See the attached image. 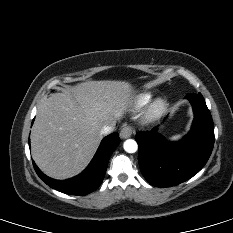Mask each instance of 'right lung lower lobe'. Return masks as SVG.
I'll list each match as a JSON object with an SVG mask.
<instances>
[{"instance_id":"98d812e1","label":"right lung lower lobe","mask_w":233,"mask_h":233,"mask_svg":"<svg viewBox=\"0 0 233 233\" xmlns=\"http://www.w3.org/2000/svg\"><path fill=\"white\" fill-rule=\"evenodd\" d=\"M120 143L118 133L105 137L88 167L78 176L68 180H55L47 177L33 162L37 175L50 187L70 195H87L95 191L102 183L108 161Z\"/></svg>"}]
</instances>
